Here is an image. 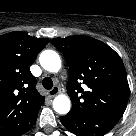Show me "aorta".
Instances as JSON below:
<instances>
[{"label":"aorta","instance_id":"762f6f07","mask_svg":"<svg viewBox=\"0 0 136 136\" xmlns=\"http://www.w3.org/2000/svg\"><path fill=\"white\" fill-rule=\"evenodd\" d=\"M40 65L42 68L49 72H58L61 68V59L59 55L53 50H45L39 57ZM71 102L67 95L61 94L54 98L53 108L61 114H67L70 111Z\"/></svg>","mask_w":136,"mask_h":136}]
</instances>
